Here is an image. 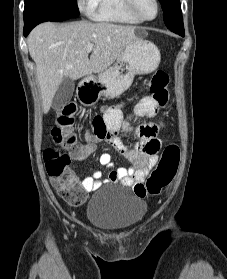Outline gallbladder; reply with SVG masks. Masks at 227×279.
Listing matches in <instances>:
<instances>
[{
  "label": "gallbladder",
  "mask_w": 227,
  "mask_h": 279,
  "mask_svg": "<svg viewBox=\"0 0 227 279\" xmlns=\"http://www.w3.org/2000/svg\"><path fill=\"white\" fill-rule=\"evenodd\" d=\"M74 87L72 79L63 78L52 100V108L58 110L64 107L72 98Z\"/></svg>",
  "instance_id": "obj_1"
}]
</instances>
